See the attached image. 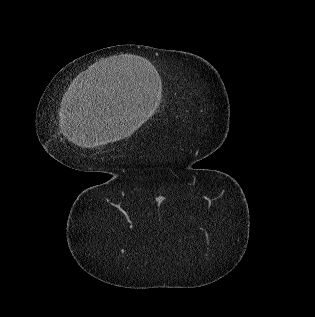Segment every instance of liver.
<instances>
[{
    "label": "liver",
    "instance_id": "liver-1",
    "mask_svg": "<svg viewBox=\"0 0 315 317\" xmlns=\"http://www.w3.org/2000/svg\"><path fill=\"white\" fill-rule=\"evenodd\" d=\"M111 93L99 89L81 91L64 109L61 119L64 135L74 144L94 148L129 137L140 123L129 115L126 107Z\"/></svg>",
    "mask_w": 315,
    "mask_h": 317
}]
</instances>
